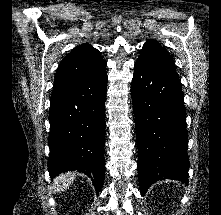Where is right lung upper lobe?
Listing matches in <instances>:
<instances>
[{"label": "right lung upper lobe", "instance_id": "cb5924a9", "mask_svg": "<svg viewBox=\"0 0 221 215\" xmlns=\"http://www.w3.org/2000/svg\"><path fill=\"white\" fill-rule=\"evenodd\" d=\"M106 69V62L98 50L89 44L75 47L60 63L53 93L71 88L91 79Z\"/></svg>", "mask_w": 221, "mask_h": 215}]
</instances>
